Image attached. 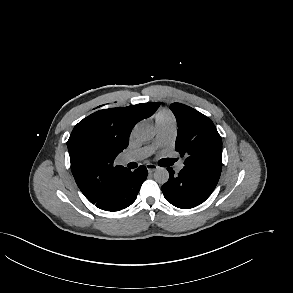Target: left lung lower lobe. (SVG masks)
Returning a JSON list of instances; mask_svg holds the SVG:
<instances>
[{
  "mask_svg": "<svg viewBox=\"0 0 293 293\" xmlns=\"http://www.w3.org/2000/svg\"><path fill=\"white\" fill-rule=\"evenodd\" d=\"M169 180L162 186L165 199L172 205L189 209L203 203L215 189L220 174L208 168L187 166L175 174L167 168Z\"/></svg>",
  "mask_w": 293,
  "mask_h": 293,
  "instance_id": "1",
  "label": "left lung lower lobe"
}]
</instances>
